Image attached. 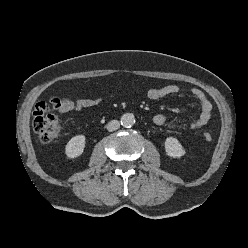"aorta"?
I'll return each mask as SVG.
<instances>
[{
	"instance_id": "aorta-1",
	"label": "aorta",
	"mask_w": 248,
	"mask_h": 248,
	"mask_svg": "<svg viewBox=\"0 0 248 248\" xmlns=\"http://www.w3.org/2000/svg\"><path fill=\"white\" fill-rule=\"evenodd\" d=\"M135 124V117L132 113H125L121 116V125L124 127H132Z\"/></svg>"
}]
</instances>
